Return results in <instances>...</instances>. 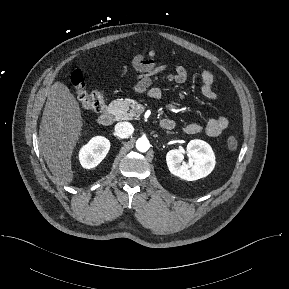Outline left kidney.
I'll return each instance as SVG.
<instances>
[{
  "label": "left kidney",
  "instance_id": "left-kidney-1",
  "mask_svg": "<svg viewBox=\"0 0 289 289\" xmlns=\"http://www.w3.org/2000/svg\"><path fill=\"white\" fill-rule=\"evenodd\" d=\"M192 162L189 165L183 163L184 152L173 149L166 155L169 171L187 181H195L208 176L215 167V156L211 146L202 140H191L186 150Z\"/></svg>",
  "mask_w": 289,
  "mask_h": 289
}]
</instances>
